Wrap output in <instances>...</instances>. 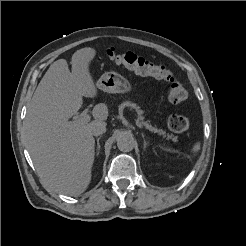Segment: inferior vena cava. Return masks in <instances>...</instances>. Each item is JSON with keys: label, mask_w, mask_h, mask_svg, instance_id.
I'll use <instances>...</instances> for the list:
<instances>
[{"label": "inferior vena cava", "mask_w": 246, "mask_h": 246, "mask_svg": "<svg viewBox=\"0 0 246 246\" xmlns=\"http://www.w3.org/2000/svg\"><path fill=\"white\" fill-rule=\"evenodd\" d=\"M106 131V123L105 122H98L95 125H93L91 129V134L93 136H99L103 134Z\"/></svg>", "instance_id": "inferior-vena-cava-1"}]
</instances>
